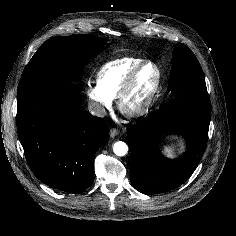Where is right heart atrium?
<instances>
[{
  "label": "right heart atrium",
  "mask_w": 236,
  "mask_h": 236,
  "mask_svg": "<svg viewBox=\"0 0 236 236\" xmlns=\"http://www.w3.org/2000/svg\"><path fill=\"white\" fill-rule=\"evenodd\" d=\"M86 96L98 116H103L112 107L113 99L104 93L97 83L88 84Z\"/></svg>",
  "instance_id": "d8ad5b80"
}]
</instances>
